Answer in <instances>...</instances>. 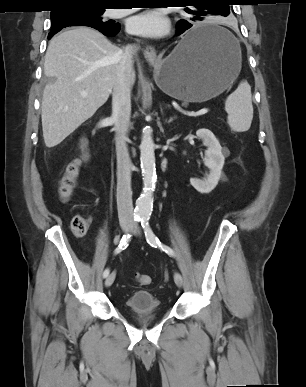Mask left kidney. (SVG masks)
I'll list each match as a JSON object with an SVG mask.
<instances>
[{
    "label": "left kidney",
    "instance_id": "1",
    "mask_svg": "<svg viewBox=\"0 0 306 387\" xmlns=\"http://www.w3.org/2000/svg\"><path fill=\"white\" fill-rule=\"evenodd\" d=\"M199 139L207 147L205 151V165L209 168L210 173L206 179L191 178V185L200 193L211 192L221 177L225 157L222 154V147L215 135L208 129H199L196 132Z\"/></svg>",
    "mask_w": 306,
    "mask_h": 387
}]
</instances>
